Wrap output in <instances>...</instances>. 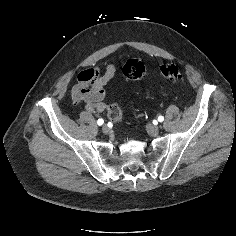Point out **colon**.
<instances>
[{
  "mask_svg": "<svg viewBox=\"0 0 236 236\" xmlns=\"http://www.w3.org/2000/svg\"><path fill=\"white\" fill-rule=\"evenodd\" d=\"M124 75L131 80H141L145 76V66L138 60H129L124 68ZM161 76L172 83H179L182 81V74L179 68L174 64H164L160 67ZM121 108L118 104L114 103L108 107L107 116L112 122H118L121 119Z\"/></svg>",
  "mask_w": 236,
  "mask_h": 236,
  "instance_id": "5ec220e1",
  "label": "colon"
}]
</instances>
